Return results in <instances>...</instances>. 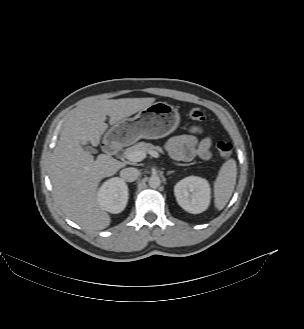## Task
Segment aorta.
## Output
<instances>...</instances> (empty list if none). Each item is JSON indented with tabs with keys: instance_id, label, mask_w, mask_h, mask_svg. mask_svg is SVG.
<instances>
[{
	"instance_id": "762f6f07",
	"label": "aorta",
	"mask_w": 304,
	"mask_h": 329,
	"mask_svg": "<svg viewBox=\"0 0 304 329\" xmlns=\"http://www.w3.org/2000/svg\"><path fill=\"white\" fill-rule=\"evenodd\" d=\"M160 183H161L160 178L157 175H152L148 180V184L151 188L159 187Z\"/></svg>"
}]
</instances>
